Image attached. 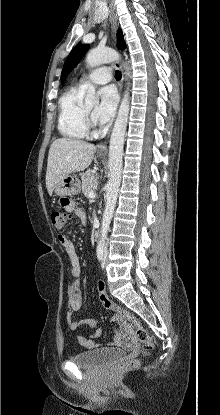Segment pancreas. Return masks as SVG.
<instances>
[{
	"label": "pancreas",
	"mask_w": 220,
	"mask_h": 415,
	"mask_svg": "<svg viewBox=\"0 0 220 415\" xmlns=\"http://www.w3.org/2000/svg\"><path fill=\"white\" fill-rule=\"evenodd\" d=\"M80 176L82 179V192L84 196L88 197L89 192L97 187V179L91 171L81 173Z\"/></svg>",
	"instance_id": "1"
}]
</instances>
